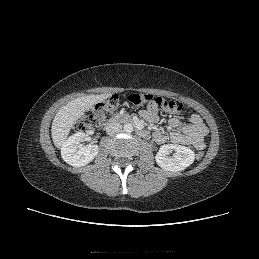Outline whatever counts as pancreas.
Masks as SVG:
<instances>
[{"instance_id":"obj_1","label":"pancreas","mask_w":259,"mask_h":259,"mask_svg":"<svg viewBox=\"0 0 259 259\" xmlns=\"http://www.w3.org/2000/svg\"><path fill=\"white\" fill-rule=\"evenodd\" d=\"M125 115H119V117H124Z\"/></svg>"}]
</instances>
